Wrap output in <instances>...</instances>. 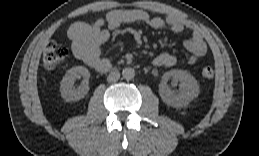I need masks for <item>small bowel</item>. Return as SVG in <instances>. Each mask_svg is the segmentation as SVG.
Instances as JSON below:
<instances>
[{
	"instance_id": "obj_1",
	"label": "small bowel",
	"mask_w": 259,
	"mask_h": 156,
	"mask_svg": "<svg viewBox=\"0 0 259 156\" xmlns=\"http://www.w3.org/2000/svg\"><path fill=\"white\" fill-rule=\"evenodd\" d=\"M138 22L152 29L173 33L189 30L190 36L184 42L190 52L188 64L196 63L207 52V44L202 34L187 20L175 15L155 17L141 9H115L109 11L104 18L91 23L78 22L69 28L68 37L72 42L73 53L90 67L102 72L107 71L111 63L101 57V46L109 39L111 32L122 24ZM104 25H107V29H103ZM152 62L156 66L171 67L177 63V58L169 52H163L155 56Z\"/></svg>"
}]
</instances>
